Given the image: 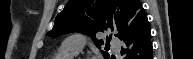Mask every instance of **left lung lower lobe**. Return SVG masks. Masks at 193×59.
Instances as JSON below:
<instances>
[{
	"mask_svg": "<svg viewBox=\"0 0 193 59\" xmlns=\"http://www.w3.org/2000/svg\"><path fill=\"white\" fill-rule=\"evenodd\" d=\"M150 25L146 13L140 12L130 23L122 40L126 49L121 50L123 59H152V42H151Z\"/></svg>",
	"mask_w": 193,
	"mask_h": 59,
	"instance_id": "obj_1",
	"label": "left lung lower lobe"
}]
</instances>
